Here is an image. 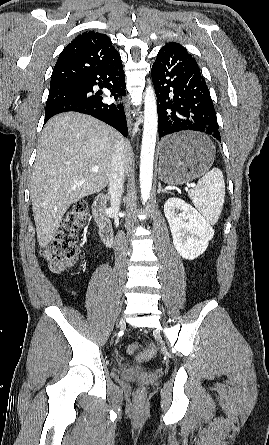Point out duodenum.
Masks as SVG:
<instances>
[{
	"instance_id": "410a0bca",
	"label": "duodenum",
	"mask_w": 269,
	"mask_h": 445,
	"mask_svg": "<svg viewBox=\"0 0 269 445\" xmlns=\"http://www.w3.org/2000/svg\"><path fill=\"white\" fill-rule=\"evenodd\" d=\"M106 195L101 193L99 194L93 203V215L95 221L98 225L100 236L103 242L111 246L114 240V230L111 224V221L106 215Z\"/></svg>"
}]
</instances>
